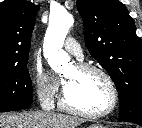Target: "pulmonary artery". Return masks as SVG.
Returning a JSON list of instances; mask_svg holds the SVG:
<instances>
[{"label": "pulmonary artery", "mask_w": 142, "mask_h": 128, "mask_svg": "<svg viewBox=\"0 0 142 128\" xmlns=\"http://www.w3.org/2000/svg\"><path fill=\"white\" fill-rule=\"evenodd\" d=\"M64 48L67 52L77 56L78 58L83 57L82 49H81L79 43L72 37H69L66 39L65 44H64Z\"/></svg>", "instance_id": "pulmonary-artery-1"}]
</instances>
